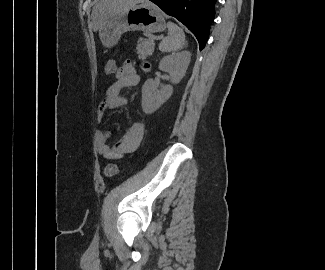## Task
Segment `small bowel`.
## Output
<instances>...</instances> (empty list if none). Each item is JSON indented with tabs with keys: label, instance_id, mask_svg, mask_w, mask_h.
Segmentation results:
<instances>
[{
	"label": "small bowel",
	"instance_id": "c3829d8e",
	"mask_svg": "<svg viewBox=\"0 0 325 270\" xmlns=\"http://www.w3.org/2000/svg\"><path fill=\"white\" fill-rule=\"evenodd\" d=\"M114 76L115 81L108 88L104 100L98 105V122L102 121L107 111L125 106L128 100L120 94V91L123 88L136 86L140 81V77L131 61H126L122 66L118 67ZM144 129L145 123L143 122L131 124L120 141L114 146L108 144L109 131L100 130L96 140L98 154L104 159L116 160L135 151L141 143Z\"/></svg>",
	"mask_w": 325,
	"mask_h": 270
}]
</instances>
